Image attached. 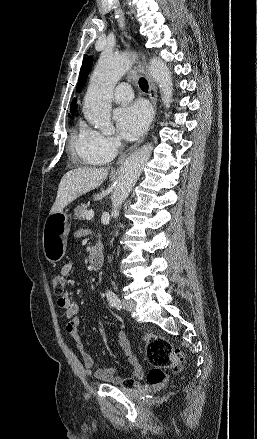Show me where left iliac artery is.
I'll return each mask as SVG.
<instances>
[{
	"instance_id": "44dca946",
	"label": "left iliac artery",
	"mask_w": 257,
	"mask_h": 439,
	"mask_svg": "<svg viewBox=\"0 0 257 439\" xmlns=\"http://www.w3.org/2000/svg\"><path fill=\"white\" fill-rule=\"evenodd\" d=\"M106 296H107V299H108V301H109L111 306H113V307H115L117 309H121L122 308L118 296L113 291L107 290Z\"/></svg>"
}]
</instances>
